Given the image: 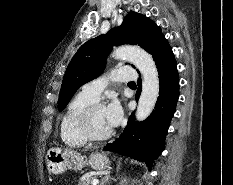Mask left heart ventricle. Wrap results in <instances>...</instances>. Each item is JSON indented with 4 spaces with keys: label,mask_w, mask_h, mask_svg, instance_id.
Instances as JSON below:
<instances>
[{
    "label": "left heart ventricle",
    "mask_w": 233,
    "mask_h": 185,
    "mask_svg": "<svg viewBox=\"0 0 233 185\" xmlns=\"http://www.w3.org/2000/svg\"><path fill=\"white\" fill-rule=\"evenodd\" d=\"M90 127L93 134L97 136L107 134L112 128L108 123L105 108H97L90 117Z\"/></svg>",
    "instance_id": "obj_1"
}]
</instances>
